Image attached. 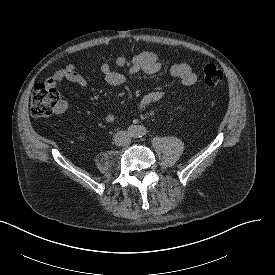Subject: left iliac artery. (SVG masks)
<instances>
[{"label":"left iliac artery","instance_id":"left-iliac-artery-1","mask_svg":"<svg viewBox=\"0 0 275 275\" xmlns=\"http://www.w3.org/2000/svg\"><path fill=\"white\" fill-rule=\"evenodd\" d=\"M145 134H146V129L144 127H140L139 128V135H140V137H142Z\"/></svg>","mask_w":275,"mask_h":275}]
</instances>
